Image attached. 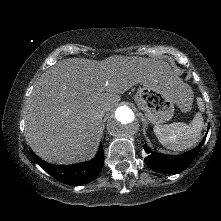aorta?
I'll return each instance as SVG.
<instances>
[{"instance_id": "1", "label": "aorta", "mask_w": 221, "mask_h": 221, "mask_svg": "<svg viewBox=\"0 0 221 221\" xmlns=\"http://www.w3.org/2000/svg\"><path fill=\"white\" fill-rule=\"evenodd\" d=\"M139 129V123L131 108L120 106L113 116L108 119L107 131L117 138H129L134 136Z\"/></svg>"}]
</instances>
